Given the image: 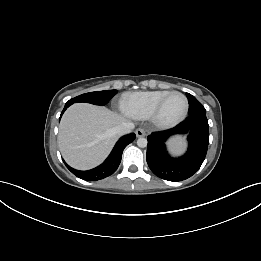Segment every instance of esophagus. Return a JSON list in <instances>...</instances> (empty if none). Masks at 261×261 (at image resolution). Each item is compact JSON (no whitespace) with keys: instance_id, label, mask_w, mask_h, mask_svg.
<instances>
[{"instance_id":"34e87169","label":"esophagus","mask_w":261,"mask_h":261,"mask_svg":"<svg viewBox=\"0 0 261 261\" xmlns=\"http://www.w3.org/2000/svg\"><path fill=\"white\" fill-rule=\"evenodd\" d=\"M136 133V136L139 138V137H144L146 135L145 131L143 129H137L135 131Z\"/></svg>"}]
</instances>
